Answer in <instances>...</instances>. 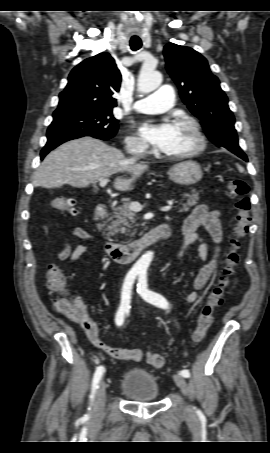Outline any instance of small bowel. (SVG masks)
I'll list each match as a JSON object with an SVG mask.
<instances>
[{
  "label": "small bowel",
  "mask_w": 270,
  "mask_h": 453,
  "mask_svg": "<svg viewBox=\"0 0 270 453\" xmlns=\"http://www.w3.org/2000/svg\"><path fill=\"white\" fill-rule=\"evenodd\" d=\"M220 218L221 215L218 211L210 210L206 205L201 204L195 207L183 222V240L175 251L174 259L178 260L181 258L188 246L197 244V257L201 262L193 282L192 290L186 295V302L188 304H193L197 301L201 290L217 269L220 252L219 244L223 238ZM200 225L205 226L217 245L213 258L208 262V246L197 233ZM71 237L85 241L93 240L92 234L82 227H75L72 230ZM89 248L88 244H82L72 248L70 239H66L57 257L61 261L74 263L88 252ZM76 300L79 305L80 316L78 318H68L86 332L88 339L96 348L116 360L140 362L143 359V352L140 349L116 348L105 344L100 338L97 323L89 315L87 306L80 297H76Z\"/></svg>",
  "instance_id": "c3829d8e"
}]
</instances>
